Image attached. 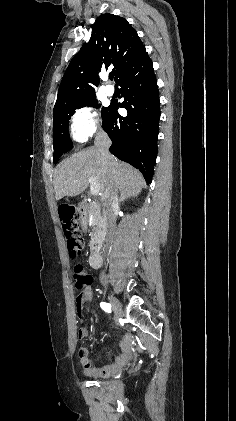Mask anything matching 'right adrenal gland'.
<instances>
[{
  "label": "right adrenal gland",
  "mask_w": 236,
  "mask_h": 421,
  "mask_svg": "<svg viewBox=\"0 0 236 421\" xmlns=\"http://www.w3.org/2000/svg\"><path fill=\"white\" fill-rule=\"evenodd\" d=\"M124 200H125V196H123V194H121L120 202H124Z\"/></svg>",
  "instance_id": "2a0ac1e0"
}]
</instances>
